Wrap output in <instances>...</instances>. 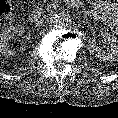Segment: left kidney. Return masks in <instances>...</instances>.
Instances as JSON below:
<instances>
[{
	"label": "left kidney",
	"mask_w": 118,
	"mask_h": 118,
	"mask_svg": "<svg viewBox=\"0 0 118 118\" xmlns=\"http://www.w3.org/2000/svg\"><path fill=\"white\" fill-rule=\"evenodd\" d=\"M101 36L104 38L105 41H107V44L109 45V48L107 51H102L101 48H99L96 45L95 40L90 41L89 44V52L103 60V61H114L118 60V39L114 35H111L110 33L103 31L101 32Z\"/></svg>",
	"instance_id": "5707ae66"
}]
</instances>
